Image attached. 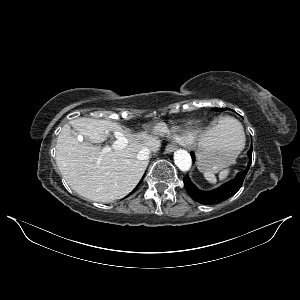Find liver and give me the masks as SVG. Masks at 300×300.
<instances>
[{
	"mask_svg": "<svg viewBox=\"0 0 300 300\" xmlns=\"http://www.w3.org/2000/svg\"><path fill=\"white\" fill-rule=\"evenodd\" d=\"M70 125L92 143H101L110 132H118L127 139V146L102 154L101 146L79 142L72 135ZM70 125H64L56 144V163L69 186L79 195L103 203L129 194L148 165V161L138 160L137 154L143 148H150L154 137L145 132L131 135L108 120L78 118ZM224 134V127L218 124L203 135L200 145L213 144Z\"/></svg>",
	"mask_w": 300,
	"mask_h": 300,
	"instance_id": "1",
	"label": "liver"
}]
</instances>
